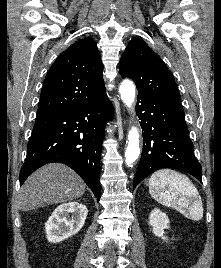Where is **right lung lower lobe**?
<instances>
[{
    "label": "right lung lower lobe",
    "mask_w": 221,
    "mask_h": 268,
    "mask_svg": "<svg viewBox=\"0 0 221 268\" xmlns=\"http://www.w3.org/2000/svg\"><path fill=\"white\" fill-rule=\"evenodd\" d=\"M112 111V104L104 95L74 108L38 114L20 171V185L44 164L60 162L75 170L99 201L101 148Z\"/></svg>",
    "instance_id": "1"
}]
</instances>
